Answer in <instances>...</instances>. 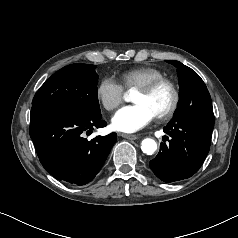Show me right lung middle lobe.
Instances as JSON below:
<instances>
[{
  "label": "right lung middle lobe",
  "instance_id": "1",
  "mask_svg": "<svg viewBox=\"0 0 238 238\" xmlns=\"http://www.w3.org/2000/svg\"><path fill=\"white\" fill-rule=\"evenodd\" d=\"M95 65L71 64L54 73L37 91L32 108H62L99 114Z\"/></svg>",
  "mask_w": 238,
  "mask_h": 238
}]
</instances>
